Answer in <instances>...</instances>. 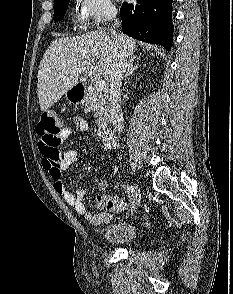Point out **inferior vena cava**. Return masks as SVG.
<instances>
[{"instance_id":"602c4592","label":"inferior vena cava","mask_w":233,"mask_h":294,"mask_svg":"<svg viewBox=\"0 0 233 294\" xmlns=\"http://www.w3.org/2000/svg\"><path fill=\"white\" fill-rule=\"evenodd\" d=\"M117 11L113 10L109 13L108 19L112 20L116 17ZM111 33L114 37L115 45L117 48V52L114 57V61L112 64L109 82V94H108V101H109V109H110V121L112 122L115 129L119 132L123 129V114L121 109V84L123 80V75L128 67V57L123 53L121 46H120V37L119 35L111 30Z\"/></svg>"}]
</instances>
